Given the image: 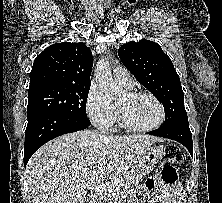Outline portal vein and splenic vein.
Here are the masks:
<instances>
[{"mask_svg": "<svg viewBox=\"0 0 222 203\" xmlns=\"http://www.w3.org/2000/svg\"><path fill=\"white\" fill-rule=\"evenodd\" d=\"M85 186L89 187L90 189L94 190H102V191H107V192H115L118 191L119 188L123 185L120 181H112V182H85Z\"/></svg>", "mask_w": 222, "mask_h": 203, "instance_id": "obj_1", "label": "portal vein and splenic vein"}]
</instances>
